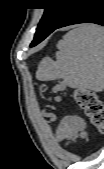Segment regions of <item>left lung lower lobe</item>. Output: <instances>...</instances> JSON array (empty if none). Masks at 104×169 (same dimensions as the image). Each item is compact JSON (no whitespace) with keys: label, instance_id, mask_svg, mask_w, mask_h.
Here are the masks:
<instances>
[{"label":"left lung lower lobe","instance_id":"obj_1","mask_svg":"<svg viewBox=\"0 0 104 169\" xmlns=\"http://www.w3.org/2000/svg\"><path fill=\"white\" fill-rule=\"evenodd\" d=\"M103 4L104 0H77L74 8L54 30L78 23H95L104 26ZM52 32H42V30H37L30 47H34L40 43Z\"/></svg>","mask_w":104,"mask_h":169}]
</instances>
